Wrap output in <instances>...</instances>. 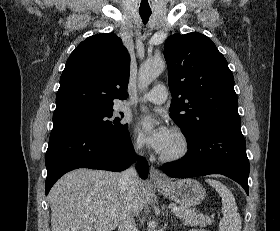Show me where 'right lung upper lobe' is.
I'll list each match as a JSON object with an SVG mask.
<instances>
[{"label":"right lung upper lobe","instance_id":"1","mask_svg":"<svg viewBox=\"0 0 280 231\" xmlns=\"http://www.w3.org/2000/svg\"><path fill=\"white\" fill-rule=\"evenodd\" d=\"M130 60L114 33L88 37L71 53L60 78L53 123L113 111L126 99Z\"/></svg>","mask_w":280,"mask_h":231}]
</instances>
